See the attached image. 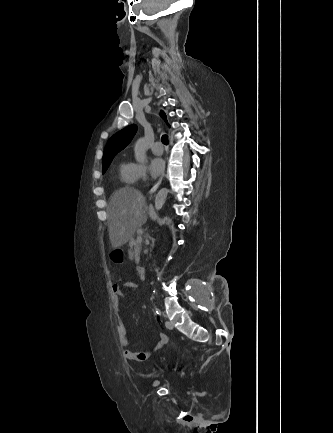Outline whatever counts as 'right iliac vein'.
I'll return each mask as SVG.
<instances>
[{
    "mask_svg": "<svg viewBox=\"0 0 333 433\" xmlns=\"http://www.w3.org/2000/svg\"><path fill=\"white\" fill-rule=\"evenodd\" d=\"M158 384H159V381L156 380V381H154L153 386L155 387V386H157Z\"/></svg>",
    "mask_w": 333,
    "mask_h": 433,
    "instance_id": "63e3f726",
    "label": "right iliac vein"
}]
</instances>
